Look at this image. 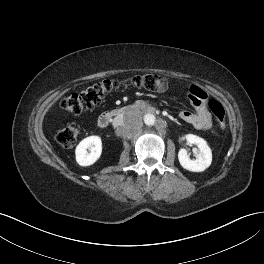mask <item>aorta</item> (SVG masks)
Here are the masks:
<instances>
[{"label": "aorta", "instance_id": "1", "mask_svg": "<svg viewBox=\"0 0 264 264\" xmlns=\"http://www.w3.org/2000/svg\"><path fill=\"white\" fill-rule=\"evenodd\" d=\"M143 120L147 126H153L156 122V117L153 114H146Z\"/></svg>", "mask_w": 264, "mask_h": 264}]
</instances>
